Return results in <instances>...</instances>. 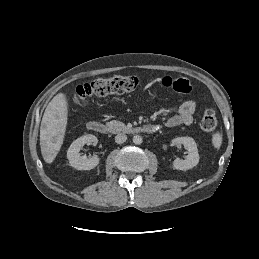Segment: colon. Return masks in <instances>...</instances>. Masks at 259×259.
<instances>
[{"label":"colon","mask_w":259,"mask_h":259,"mask_svg":"<svg viewBox=\"0 0 259 259\" xmlns=\"http://www.w3.org/2000/svg\"><path fill=\"white\" fill-rule=\"evenodd\" d=\"M162 85L177 93L188 94L192 91V85L187 78L164 77ZM140 80L136 76H114L108 79H95L91 82L80 85L73 97V102L78 104L86 98L104 97L111 94L130 93L138 89ZM217 120L215 112L208 109L204 112L201 120V128L206 132H213L216 129Z\"/></svg>","instance_id":"colon-1"}]
</instances>
